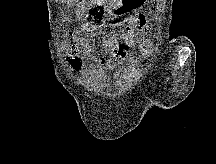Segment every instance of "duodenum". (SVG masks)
<instances>
[{
    "label": "duodenum",
    "instance_id": "410a0bca",
    "mask_svg": "<svg viewBox=\"0 0 216 164\" xmlns=\"http://www.w3.org/2000/svg\"><path fill=\"white\" fill-rule=\"evenodd\" d=\"M104 0H89L88 4L90 5L89 9H102L104 7Z\"/></svg>",
    "mask_w": 216,
    "mask_h": 164
}]
</instances>
